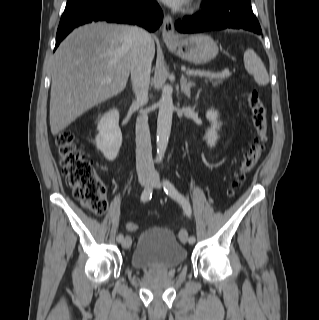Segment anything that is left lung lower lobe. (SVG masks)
<instances>
[{
    "label": "left lung lower lobe",
    "mask_w": 319,
    "mask_h": 320,
    "mask_svg": "<svg viewBox=\"0 0 319 320\" xmlns=\"http://www.w3.org/2000/svg\"><path fill=\"white\" fill-rule=\"evenodd\" d=\"M225 28L244 29L261 34L250 0H204L202 11L176 22L182 33H197Z\"/></svg>",
    "instance_id": "left-lung-lower-lobe-1"
}]
</instances>
